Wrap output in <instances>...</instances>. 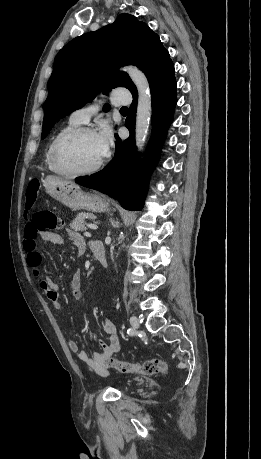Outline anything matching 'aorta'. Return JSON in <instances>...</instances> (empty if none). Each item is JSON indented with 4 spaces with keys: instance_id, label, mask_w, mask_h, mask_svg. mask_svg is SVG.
I'll list each match as a JSON object with an SVG mask.
<instances>
[{
    "instance_id": "1",
    "label": "aorta",
    "mask_w": 261,
    "mask_h": 459,
    "mask_svg": "<svg viewBox=\"0 0 261 459\" xmlns=\"http://www.w3.org/2000/svg\"><path fill=\"white\" fill-rule=\"evenodd\" d=\"M124 70L127 71L138 90L135 140L138 151H142L147 138L152 111L149 85L144 73L137 67L128 66Z\"/></svg>"
}]
</instances>
